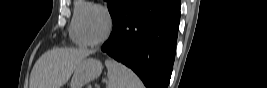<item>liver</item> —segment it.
Returning <instances> with one entry per match:
<instances>
[{
    "instance_id": "obj_1",
    "label": "liver",
    "mask_w": 267,
    "mask_h": 88,
    "mask_svg": "<svg viewBox=\"0 0 267 88\" xmlns=\"http://www.w3.org/2000/svg\"><path fill=\"white\" fill-rule=\"evenodd\" d=\"M92 51L83 49H53L35 63L30 76V88H61L77 65Z\"/></svg>"
}]
</instances>
